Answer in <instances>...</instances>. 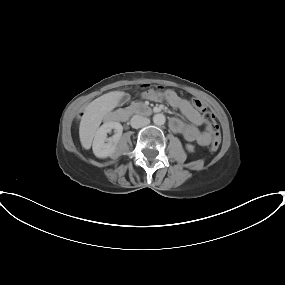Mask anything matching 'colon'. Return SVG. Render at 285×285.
<instances>
[{"label":"colon","mask_w":285,"mask_h":285,"mask_svg":"<svg viewBox=\"0 0 285 285\" xmlns=\"http://www.w3.org/2000/svg\"><path fill=\"white\" fill-rule=\"evenodd\" d=\"M146 88L147 85H144ZM192 104L202 112L203 119L207 125L208 132L211 138V148L216 150L221 143V133L219 126L215 120V115L213 112L207 107V105L198 98L192 99Z\"/></svg>","instance_id":"colon-1"}]
</instances>
